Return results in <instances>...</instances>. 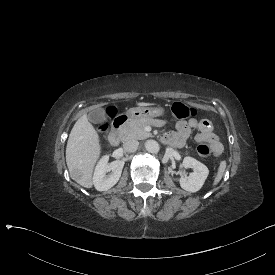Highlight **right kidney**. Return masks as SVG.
Returning <instances> with one entry per match:
<instances>
[{
    "label": "right kidney",
    "instance_id": "obj_1",
    "mask_svg": "<svg viewBox=\"0 0 275 275\" xmlns=\"http://www.w3.org/2000/svg\"><path fill=\"white\" fill-rule=\"evenodd\" d=\"M108 160L109 156L104 155L95 168L93 184L98 191H107L113 187L121 177L124 161L116 160L108 163ZM110 171H112L111 174L106 175V173Z\"/></svg>",
    "mask_w": 275,
    "mask_h": 275
}]
</instances>
